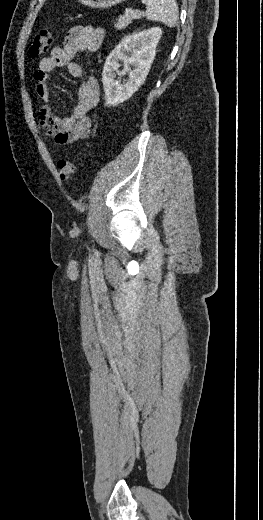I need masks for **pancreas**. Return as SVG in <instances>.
<instances>
[{"mask_svg": "<svg viewBox=\"0 0 263 520\" xmlns=\"http://www.w3.org/2000/svg\"><path fill=\"white\" fill-rule=\"evenodd\" d=\"M143 16L142 13L138 11H133L131 9L127 10L124 15L120 16L117 19V22L115 24V28L117 30L125 29L134 19H141Z\"/></svg>", "mask_w": 263, "mask_h": 520, "instance_id": "1", "label": "pancreas"}]
</instances>
